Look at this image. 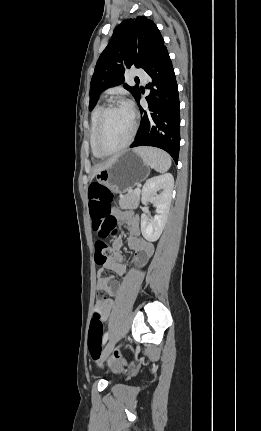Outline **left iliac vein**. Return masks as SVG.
<instances>
[{"instance_id": "1", "label": "left iliac vein", "mask_w": 261, "mask_h": 431, "mask_svg": "<svg viewBox=\"0 0 261 431\" xmlns=\"http://www.w3.org/2000/svg\"><path fill=\"white\" fill-rule=\"evenodd\" d=\"M115 346V341L112 339L110 340L107 345L105 346V348L103 349L99 364H102L106 358L110 355V353L112 352L113 348Z\"/></svg>"}]
</instances>
